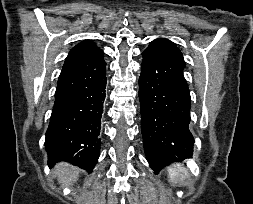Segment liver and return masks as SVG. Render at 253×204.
Returning a JSON list of instances; mask_svg holds the SVG:
<instances>
[{
    "mask_svg": "<svg viewBox=\"0 0 253 204\" xmlns=\"http://www.w3.org/2000/svg\"><path fill=\"white\" fill-rule=\"evenodd\" d=\"M56 175L62 185H72L79 178V169L67 163H60L56 166Z\"/></svg>",
    "mask_w": 253,
    "mask_h": 204,
    "instance_id": "1",
    "label": "liver"
}]
</instances>
